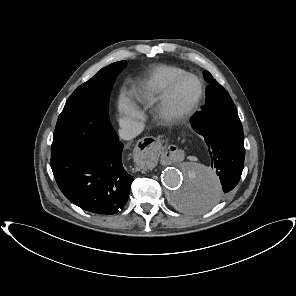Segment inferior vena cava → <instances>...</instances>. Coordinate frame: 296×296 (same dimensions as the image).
<instances>
[{"mask_svg":"<svg viewBox=\"0 0 296 296\" xmlns=\"http://www.w3.org/2000/svg\"><path fill=\"white\" fill-rule=\"evenodd\" d=\"M144 129V125L140 122H131L124 125L119 130V135L124 140H131L138 136Z\"/></svg>","mask_w":296,"mask_h":296,"instance_id":"602c4592","label":"inferior vena cava"}]
</instances>
